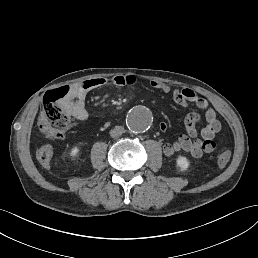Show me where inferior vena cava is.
I'll list each match as a JSON object with an SVG mask.
<instances>
[{
  "instance_id": "obj_1",
  "label": "inferior vena cava",
  "mask_w": 258,
  "mask_h": 258,
  "mask_svg": "<svg viewBox=\"0 0 258 258\" xmlns=\"http://www.w3.org/2000/svg\"><path fill=\"white\" fill-rule=\"evenodd\" d=\"M123 132H124V128L122 126H116L114 129L110 131V136L114 138L122 135Z\"/></svg>"
}]
</instances>
